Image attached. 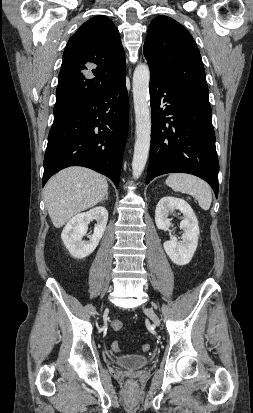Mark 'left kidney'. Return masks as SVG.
I'll use <instances>...</instances> for the list:
<instances>
[{
    "label": "left kidney",
    "mask_w": 253,
    "mask_h": 413,
    "mask_svg": "<svg viewBox=\"0 0 253 413\" xmlns=\"http://www.w3.org/2000/svg\"><path fill=\"white\" fill-rule=\"evenodd\" d=\"M174 210L183 214L180 229L183 230L182 241L178 242L175 236L164 242L163 247L171 261L176 265L188 264L196 251L199 238L198 220L191 206L183 199L171 196L161 198L155 210V223L158 229L169 230L172 227L168 215Z\"/></svg>",
    "instance_id": "left-kidney-1"
}]
</instances>
